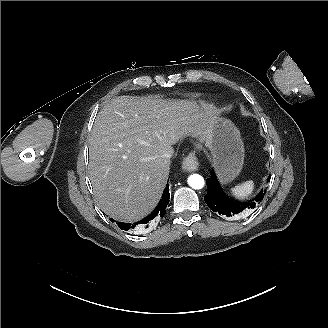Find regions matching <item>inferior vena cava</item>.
Wrapping results in <instances>:
<instances>
[{"label":"inferior vena cava","instance_id":"1","mask_svg":"<svg viewBox=\"0 0 328 328\" xmlns=\"http://www.w3.org/2000/svg\"><path fill=\"white\" fill-rule=\"evenodd\" d=\"M164 157L170 159L172 157V155L171 154H164Z\"/></svg>","mask_w":328,"mask_h":328}]
</instances>
